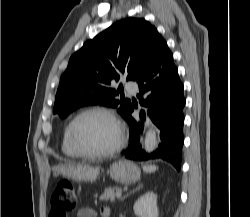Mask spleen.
Wrapping results in <instances>:
<instances>
[{"label": "spleen", "mask_w": 250, "mask_h": 217, "mask_svg": "<svg viewBox=\"0 0 250 217\" xmlns=\"http://www.w3.org/2000/svg\"><path fill=\"white\" fill-rule=\"evenodd\" d=\"M143 170L147 173L155 172L157 170L156 165H144Z\"/></svg>", "instance_id": "obj_1"}]
</instances>
